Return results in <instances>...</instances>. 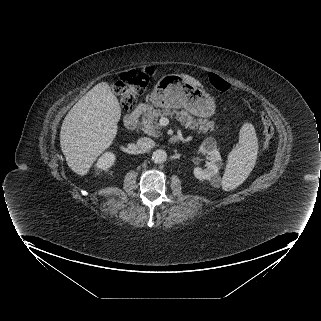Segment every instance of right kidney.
<instances>
[{
  "instance_id": "obj_1",
  "label": "right kidney",
  "mask_w": 321,
  "mask_h": 321,
  "mask_svg": "<svg viewBox=\"0 0 321 321\" xmlns=\"http://www.w3.org/2000/svg\"><path fill=\"white\" fill-rule=\"evenodd\" d=\"M115 159L116 158L113 153L106 152L98 159L96 167L100 170H107L114 164Z\"/></svg>"
}]
</instances>
